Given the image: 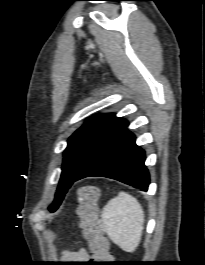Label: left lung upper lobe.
<instances>
[{
	"instance_id": "obj_1",
	"label": "left lung upper lobe",
	"mask_w": 205,
	"mask_h": 265,
	"mask_svg": "<svg viewBox=\"0 0 205 265\" xmlns=\"http://www.w3.org/2000/svg\"><path fill=\"white\" fill-rule=\"evenodd\" d=\"M128 125V121L115 114L96 115L89 118L68 140L64 152L62 174L51 212L56 211L83 168Z\"/></svg>"
}]
</instances>
